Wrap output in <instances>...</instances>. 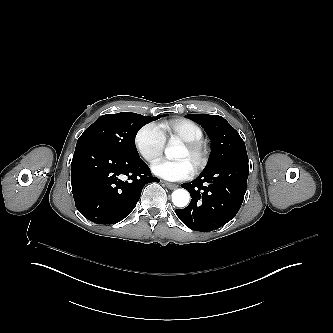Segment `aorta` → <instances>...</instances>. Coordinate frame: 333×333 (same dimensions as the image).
Instances as JSON below:
<instances>
[{"label": "aorta", "instance_id": "obj_1", "mask_svg": "<svg viewBox=\"0 0 333 333\" xmlns=\"http://www.w3.org/2000/svg\"><path fill=\"white\" fill-rule=\"evenodd\" d=\"M171 143L178 142L177 140L171 139ZM174 146L165 149L167 157L173 156ZM189 192L185 189H176L172 193V202L176 207H185L189 203Z\"/></svg>", "mask_w": 333, "mask_h": 333}]
</instances>
